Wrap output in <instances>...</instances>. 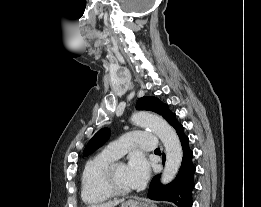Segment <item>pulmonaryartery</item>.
<instances>
[{
  "label": "pulmonary artery",
  "mask_w": 261,
  "mask_h": 207,
  "mask_svg": "<svg viewBox=\"0 0 261 207\" xmlns=\"http://www.w3.org/2000/svg\"><path fill=\"white\" fill-rule=\"evenodd\" d=\"M135 147L146 151H153L158 148V139L151 132L132 131L119 140L111 142L104 151L115 158H120L128 150Z\"/></svg>",
  "instance_id": "e3ab8cb5"
}]
</instances>
